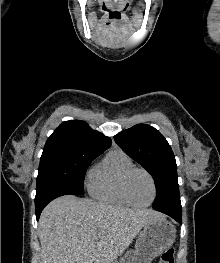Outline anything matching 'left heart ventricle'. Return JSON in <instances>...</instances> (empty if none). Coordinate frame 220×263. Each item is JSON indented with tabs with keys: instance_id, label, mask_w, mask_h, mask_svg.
<instances>
[{
	"instance_id": "1",
	"label": "left heart ventricle",
	"mask_w": 220,
	"mask_h": 263,
	"mask_svg": "<svg viewBox=\"0 0 220 263\" xmlns=\"http://www.w3.org/2000/svg\"><path fill=\"white\" fill-rule=\"evenodd\" d=\"M129 191L136 203L145 204L152 198V185L149 178L142 172H136L130 179Z\"/></svg>"
}]
</instances>
